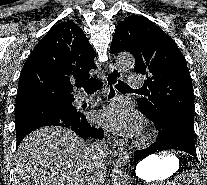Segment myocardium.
<instances>
[{
    "label": "myocardium",
    "mask_w": 207,
    "mask_h": 185,
    "mask_svg": "<svg viewBox=\"0 0 207 185\" xmlns=\"http://www.w3.org/2000/svg\"><path fill=\"white\" fill-rule=\"evenodd\" d=\"M155 135H156V131L153 128L144 126L133 140V144L136 147H140L143 144V142L154 137Z\"/></svg>",
    "instance_id": "obj_1"
}]
</instances>
